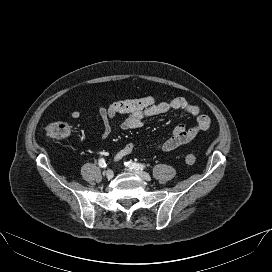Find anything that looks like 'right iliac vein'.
I'll use <instances>...</instances> for the list:
<instances>
[{"label":"right iliac vein","instance_id":"1","mask_svg":"<svg viewBox=\"0 0 272 272\" xmlns=\"http://www.w3.org/2000/svg\"><path fill=\"white\" fill-rule=\"evenodd\" d=\"M104 175L106 176L107 179H112L114 176V173L111 169H108L107 171H105Z\"/></svg>","mask_w":272,"mask_h":272}]
</instances>
